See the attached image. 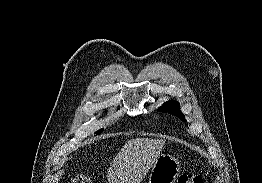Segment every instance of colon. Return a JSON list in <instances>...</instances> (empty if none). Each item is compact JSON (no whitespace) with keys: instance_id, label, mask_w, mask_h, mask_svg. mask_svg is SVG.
Wrapping results in <instances>:
<instances>
[{"instance_id":"colon-1","label":"colon","mask_w":262,"mask_h":183,"mask_svg":"<svg viewBox=\"0 0 262 183\" xmlns=\"http://www.w3.org/2000/svg\"><path fill=\"white\" fill-rule=\"evenodd\" d=\"M204 177L200 174H184L178 179V183H203ZM71 183H93L92 180L85 175H77Z\"/></svg>"}]
</instances>
